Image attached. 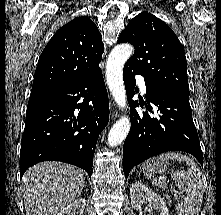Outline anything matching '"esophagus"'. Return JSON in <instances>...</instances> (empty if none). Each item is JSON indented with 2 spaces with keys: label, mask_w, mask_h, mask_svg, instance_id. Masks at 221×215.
<instances>
[{
  "label": "esophagus",
  "mask_w": 221,
  "mask_h": 215,
  "mask_svg": "<svg viewBox=\"0 0 221 215\" xmlns=\"http://www.w3.org/2000/svg\"><path fill=\"white\" fill-rule=\"evenodd\" d=\"M111 110L113 111V104H111Z\"/></svg>",
  "instance_id": "obj_1"
}]
</instances>
